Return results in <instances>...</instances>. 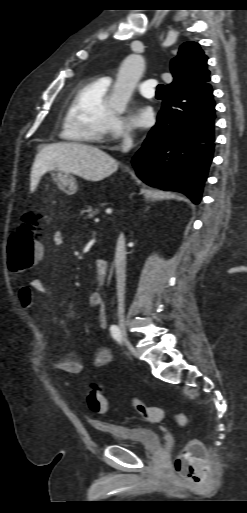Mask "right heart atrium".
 <instances>
[{"label":"right heart atrium","instance_id":"1","mask_svg":"<svg viewBox=\"0 0 247 513\" xmlns=\"http://www.w3.org/2000/svg\"><path fill=\"white\" fill-rule=\"evenodd\" d=\"M132 132V126L126 119L119 116H111L107 126V133L112 138L116 140H128Z\"/></svg>","mask_w":247,"mask_h":513}]
</instances>
